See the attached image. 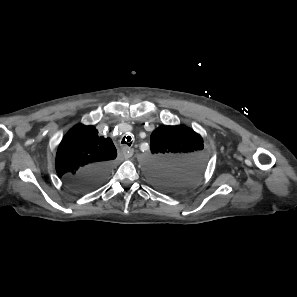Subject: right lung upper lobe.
<instances>
[{
	"label": "right lung upper lobe",
	"instance_id": "cb5924a9",
	"mask_svg": "<svg viewBox=\"0 0 297 297\" xmlns=\"http://www.w3.org/2000/svg\"><path fill=\"white\" fill-rule=\"evenodd\" d=\"M116 156V148L110 138L100 137L93 126L78 125L67 133L59 145L56 171L67 180L87 167L111 164Z\"/></svg>",
	"mask_w": 297,
	"mask_h": 297
}]
</instances>
